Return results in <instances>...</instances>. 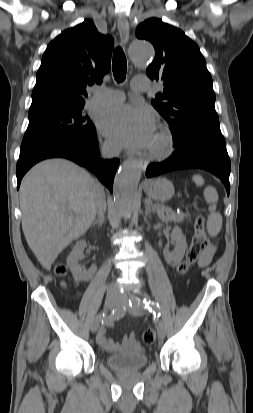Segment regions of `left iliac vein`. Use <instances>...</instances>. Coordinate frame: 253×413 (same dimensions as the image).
<instances>
[{
  "label": "left iliac vein",
  "mask_w": 253,
  "mask_h": 413,
  "mask_svg": "<svg viewBox=\"0 0 253 413\" xmlns=\"http://www.w3.org/2000/svg\"><path fill=\"white\" fill-rule=\"evenodd\" d=\"M119 303L127 309V311L134 315V316H139L142 314V307H131L129 306V297L125 294L120 295L119 297ZM157 333L159 339H164L166 335V327L163 321H159L157 325Z\"/></svg>",
  "instance_id": "1"
}]
</instances>
